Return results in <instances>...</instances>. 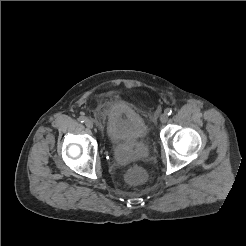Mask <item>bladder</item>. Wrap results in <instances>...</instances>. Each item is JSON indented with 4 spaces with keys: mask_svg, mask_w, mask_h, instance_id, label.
I'll list each match as a JSON object with an SVG mask.
<instances>
[{
    "mask_svg": "<svg viewBox=\"0 0 246 246\" xmlns=\"http://www.w3.org/2000/svg\"><path fill=\"white\" fill-rule=\"evenodd\" d=\"M106 134L110 141L135 142L144 140L148 135V126L144 118L135 109L122 100L110 99L105 105ZM147 153L114 151L113 160L118 165L143 160Z\"/></svg>",
    "mask_w": 246,
    "mask_h": 246,
    "instance_id": "1",
    "label": "bladder"
}]
</instances>
